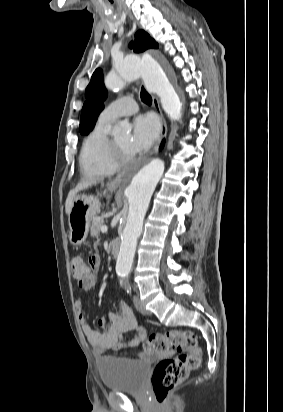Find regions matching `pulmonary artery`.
Wrapping results in <instances>:
<instances>
[{
	"instance_id": "obj_1",
	"label": "pulmonary artery",
	"mask_w": 283,
	"mask_h": 412,
	"mask_svg": "<svg viewBox=\"0 0 283 412\" xmlns=\"http://www.w3.org/2000/svg\"><path fill=\"white\" fill-rule=\"evenodd\" d=\"M137 111L138 105L136 101L131 97L125 96L106 106L101 112L99 119L103 122L111 123L118 118L133 115Z\"/></svg>"
}]
</instances>
